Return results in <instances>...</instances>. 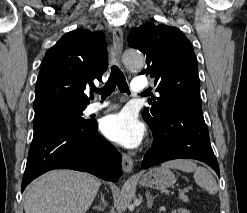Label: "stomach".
Masks as SVG:
<instances>
[{
	"mask_svg": "<svg viewBox=\"0 0 247 213\" xmlns=\"http://www.w3.org/2000/svg\"><path fill=\"white\" fill-rule=\"evenodd\" d=\"M175 183V176L169 170L155 167L148 170L141 178L140 184L154 189H166Z\"/></svg>",
	"mask_w": 247,
	"mask_h": 213,
	"instance_id": "1",
	"label": "stomach"
}]
</instances>
